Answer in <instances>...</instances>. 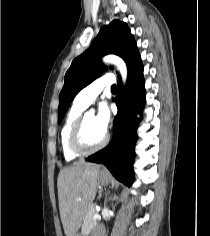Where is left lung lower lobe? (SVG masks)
I'll use <instances>...</instances> for the list:
<instances>
[{
	"label": "left lung lower lobe",
	"instance_id": "obj_1",
	"mask_svg": "<svg viewBox=\"0 0 210 236\" xmlns=\"http://www.w3.org/2000/svg\"><path fill=\"white\" fill-rule=\"evenodd\" d=\"M116 105L118 113L114 118V134L110 144L86 160L103 163L121 182L130 186L133 182L134 145L136 128L145 103V88L142 63L128 75L123 91L119 78Z\"/></svg>",
	"mask_w": 210,
	"mask_h": 236
}]
</instances>
